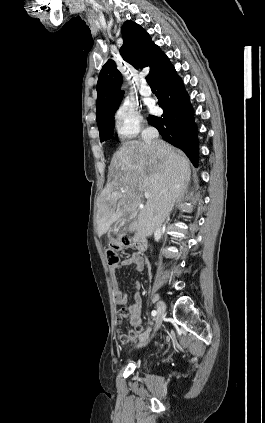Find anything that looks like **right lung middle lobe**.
<instances>
[{"label":"right lung middle lobe","mask_w":265,"mask_h":423,"mask_svg":"<svg viewBox=\"0 0 265 423\" xmlns=\"http://www.w3.org/2000/svg\"><path fill=\"white\" fill-rule=\"evenodd\" d=\"M117 109V108H116ZM116 109L109 113L102 122L98 124L100 141H106L112 138L114 128V114Z\"/></svg>","instance_id":"right-lung-middle-lobe-1"}]
</instances>
